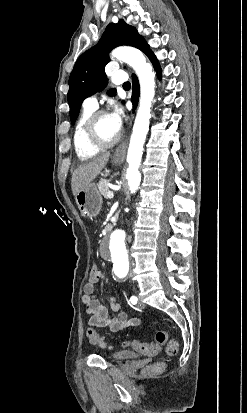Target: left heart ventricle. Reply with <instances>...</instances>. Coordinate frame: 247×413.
Listing matches in <instances>:
<instances>
[{
  "label": "left heart ventricle",
  "mask_w": 247,
  "mask_h": 413,
  "mask_svg": "<svg viewBox=\"0 0 247 413\" xmlns=\"http://www.w3.org/2000/svg\"><path fill=\"white\" fill-rule=\"evenodd\" d=\"M97 130L103 140L109 141L117 137L116 133L106 124L104 118H100Z\"/></svg>",
  "instance_id": "obj_1"
}]
</instances>
